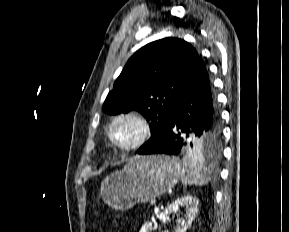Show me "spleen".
Segmentation results:
<instances>
[{
  "mask_svg": "<svg viewBox=\"0 0 289 232\" xmlns=\"http://www.w3.org/2000/svg\"><path fill=\"white\" fill-rule=\"evenodd\" d=\"M181 182L186 185H205L207 179L202 171V166L195 160L183 158L179 167Z\"/></svg>",
  "mask_w": 289,
  "mask_h": 232,
  "instance_id": "obj_1",
  "label": "spleen"
}]
</instances>
